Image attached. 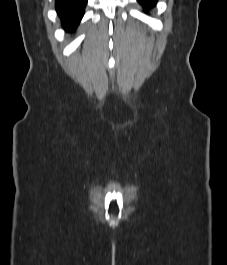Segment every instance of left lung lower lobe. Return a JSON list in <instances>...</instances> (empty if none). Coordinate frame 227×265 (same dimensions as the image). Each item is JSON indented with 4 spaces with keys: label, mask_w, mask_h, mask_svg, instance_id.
Listing matches in <instances>:
<instances>
[{
    "label": "left lung lower lobe",
    "mask_w": 227,
    "mask_h": 265,
    "mask_svg": "<svg viewBox=\"0 0 227 265\" xmlns=\"http://www.w3.org/2000/svg\"><path fill=\"white\" fill-rule=\"evenodd\" d=\"M138 2L142 4L145 8L149 9L156 4L157 0H138Z\"/></svg>",
    "instance_id": "0a47b994"
}]
</instances>
